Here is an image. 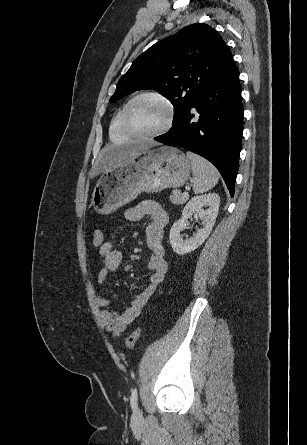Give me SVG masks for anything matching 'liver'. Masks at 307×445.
Here are the masks:
<instances>
[{"instance_id":"1","label":"liver","mask_w":307,"mask_h":445,"mask_svg":"<svg viewBox=\"0 0 307 445\" xmlns=\"http://www.w3.org/2000/svg\"><path fill=\"white\" fill-rule=\"evenodd\" d=\"M159 144V142H156ZM136 150H140V148H136ZM137 154V152H135ZM135 154H132L131 148H115V146H105L102 148L97 162L92 168L90 172L91 178L99 174V172H103V170H107V168H113L115 164H120V162H126L128 158H134Z\"/></svg>"}]
</instances>
